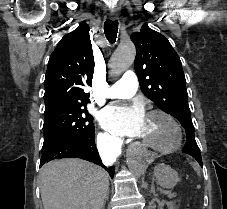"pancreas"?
Here are the masks:
<instances>
[{
    "mask_svg": "<svg viewBox=\"0 0 227 209\" xmlns=\"http://www.w3.org/2000/svg\"><path fill=\"white\" fill-rule=\"evenodd\" d=\"M167 203H168V205L166 204L165 206L167 207H170L169 209H177L175 206H174V204L172 203L173 201L171 200V199H168L167 201H166Z\"/></svg>",
    "mask_w": 227,
    "mask_h": 209,
    "instance_id": "cf45deb5",
    "label": "pancreas"
}]
</instances>
